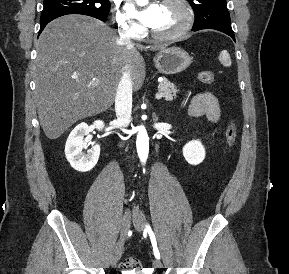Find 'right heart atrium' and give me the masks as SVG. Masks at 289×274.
Segmentation results:
<instances>
[{
  "label": "right heart atrium",
  "instance_id": "d8ad5b80",
  "mask_svg": "<svg viewBox=\"0 0 289 274\" xmlns=\"http://www.w3.org/2000/svg\"><path fill=\"white\" fill-rule=\"evenodd\" d=\"M115 20L119 30L127 36L137 37L142 31L140 25L120 11L118 7L115 9Z\"/></svg>",
  "mask_w": 289,
  "mask_h": 274
}]
</instances>
